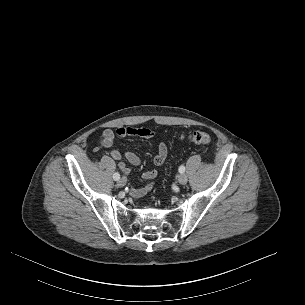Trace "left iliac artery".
Masks as SVG:
<instances>
[{
	"instance_id": "left-iliac-artery-1",
	"label": "left iliac artery",
	"mask_w": 305,
	"mask_h": 305,
	"mask_svg": "<svg viewBox=\"0 0 305 305\" xmlns=\"http://www.w3.org/2000/svg\"><path fill=\"white\" fill-rule=\"evenodd\" d=\"M178 170H179L180 173H184L185 172V167L183 165H181Z\"/></svg>"
}]
</instances>
